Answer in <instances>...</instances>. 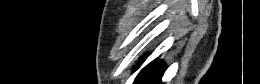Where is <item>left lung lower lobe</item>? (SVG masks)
<instances>
[{"label": "left lung lower lobe", "mask_w": 260, "mask_h": 84, "mask_svg": "<svg viewBox=\"0 0 260 84\" xmlns=\"http://www.w3.org/2000/svg\"><path fill=\"white\" fill-rule=\"evenodd\" d=\"M165 69L163 61H153L138 74L133 84H161L160 79Z\"/></svg>", "instance_id": "obj_1"}]
</instances>
